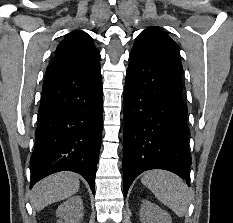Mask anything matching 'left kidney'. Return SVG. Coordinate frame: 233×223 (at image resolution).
I'll list each match as a JSON object with an SVG mask.
<instances>
[{
  "mask_svg": "<svg viewBox=\"0 0 233 223\" xmlns=\"http://www.w3.org/2000/svg\"><path fill=\"white\" fill-rule=\"evenodd\" d=\"M142 205L140 209L141 223H172L171 215L165 209H161L159 205L149 201V199H141Z\"/></svg>",
  "mask_w": 233,
  "mask_h": 223,
  "instance_id": "left-kidney-1",
  "label": "left kidney"
}]
</instances>
